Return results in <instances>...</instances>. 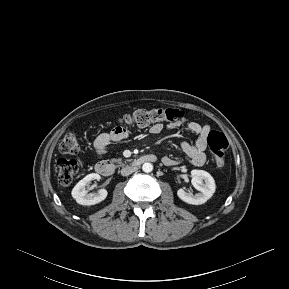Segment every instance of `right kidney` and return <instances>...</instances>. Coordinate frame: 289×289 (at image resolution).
I'll return each mask as SVG.
<instances>
[{
	"instance_id": "1",
	"label": "right kidney",
	"mask_w": 289,
	"mask_h": 289,
	"mask_svg": "<svg viewBox=\"0 0 289 289\" xmlns=\"http://www.w3.org/2000/svg\"><path fill=\"white\" fill-rule=\"evenodd\" d=\"M100 175L97 173H91L86 175L82 180H80L73 188L71 194L76 202L80 205H95L105 200L108 192L105 189H101L97 194L88 193L86 187L88 183L92 180H100Z\"/></svg>"
}]
</instances>
